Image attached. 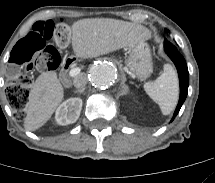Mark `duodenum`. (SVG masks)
<instances>
[{"mask_svg":"<svg viewBox=\"0 0 215 183\" xmlns=\"http://www.w3.org/2000/svg\"><path fill=\"white\" fill-rule=\"evenodd\" d=\"M73 65H74V59L71 57L66 58L62 63L60 79H61L62 83L66 86L70 85V83H71L68 72L72 68Z\"/></svg>","mask_w":215,"mask_h":183,"instance_id":"410a0bca","label":"duodenum"}]
</instances>
